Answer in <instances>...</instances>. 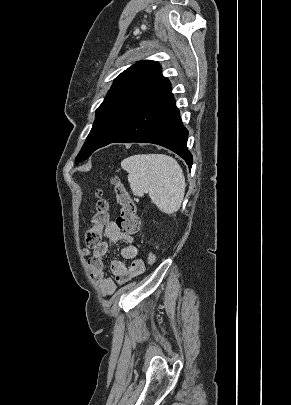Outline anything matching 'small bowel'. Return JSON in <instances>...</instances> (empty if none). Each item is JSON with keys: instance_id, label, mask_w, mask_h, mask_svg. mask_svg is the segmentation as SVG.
I'll return each mask as SVG.
<instances>
[{"instance_id": "1", "label": "small bowel", "mask_w": 291, "mask_h": 405, "mask_svg": "<svg viewBox=\"0 0 291 405\" xmlns=\"http://www.w3.org/2000/svg\"><path fill=\"white\" fill-rule=\"evenodd\" d=\"M104 235L106 241L102 242L94 249L87 262L91 271V277L101 293L105 296H110L116 291L117 285H123L143 273L145 265L144 262L137 257V248L132 245L133 237L123 233L115 222L108 223L104 228ZM120 241L127 243V245L121 249V257L124 260H130L131 264L127 266L122 260L112 261L110 270L114 278H111L108 277L104 271L103 257L109 252L111 245Z\"/></svg>"}]
</instances>
